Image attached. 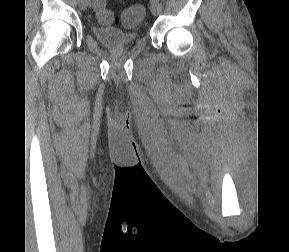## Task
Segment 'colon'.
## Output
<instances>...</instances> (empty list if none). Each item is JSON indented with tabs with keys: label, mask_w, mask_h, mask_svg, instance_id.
I'll return each instance as SVG.
<instances>
[{
	"label": "colon",
	"mask_w": 289,
	"mask_h": 252,
	"mask_svg": "<svg viewBox=\"0 0 289 252\" xmlns=\"http://www.w3.org/2000/svg\"><path fill=\"white\" fill-rule=\"evenodd\" d=\"M93 8L96 11L98 20L103 24H120L125 28H132L138 25L144 16V8L141 5H131L122 12L120 16L106 8V0H93Z\"/></svg>",
	"instance_id": "5ec220e1"
}]
</instances>
